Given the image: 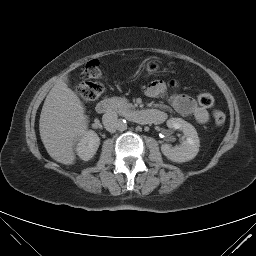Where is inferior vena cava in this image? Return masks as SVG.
I'll return each mask as SVG.
<instances>
[{
  "instance_id": "1",
  "label": "inferior vena cava",
  "mask_w": 256,
  "mask_h": 256,
  "mask_svg": "<svg viewBox=\"0 0 256 256\" xmlns=\"http://www.w3.org/2000/svg\"><path fill=\"white\" fill-rule=\"evenodd\" d=\"M102 122L109 132H115L118 129V115L115 111H107L103 117Z\"/></svg>"
}]
</instances>
